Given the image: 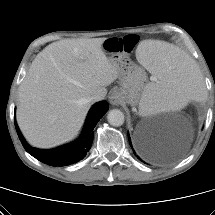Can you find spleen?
<instances>
[{
    "label": "spleen",
    "instance_id": "1",
    "mask_svg": "<svg viewBox=\"0 0 215 215\" xmlns=\"http://www.w3.org/2000/svg\"><path fill=\"white\" fill-rule=\"evenodd\" d=\"M137 55L152 74L139 103L144 114L179 109L191 99H203L204 86L188 55L157 41L141 42Z\"/></svg>",
    "mask_w": 215,
    "mask_h": 215
}]
</instances>
